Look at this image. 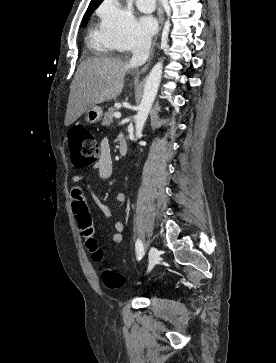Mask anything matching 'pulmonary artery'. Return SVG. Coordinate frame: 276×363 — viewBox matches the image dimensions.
Listing matches in <instances>:
<instances>
[{
  "instance_id": "pulmonary-artery-1",
  "label": "pulmonary artery",
  "mask_w": 276,
  "mask_h": 363,
  "mask_svg": "<svg viewBox=\"0 0 276 363\" xmlns=\"http://www.w3.org/2000/svg\"><path fill=\"white\" fill-rule=\"evenodd\" d=\"M137 7L146 13H150L155 9V0H136Z\"/></svg>"
}]
</instances>
